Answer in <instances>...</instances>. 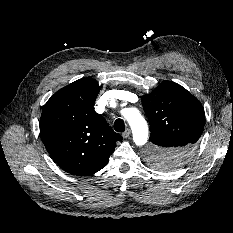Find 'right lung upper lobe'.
I'll use <instances>...</instances> for the list:
<instances>
[{
    "label": "right lung upper lobe",
    "instance_id": "obj_1",
    "mask_svg": "<svg viewBox=\"0 0 233 233\" xmlns=\"http://www.w3.org/2000/svg\"><path fill=\"white\" fill-rule=\"evenodd\" d=\"M98 92L96 80L82 78L57 91L43 108L39 124L42 141L67 173H96L106 166L116 141L122 140L95 112Z\"/></svg>",
    "mask_w": 233,
    "mask_h": 233
}]
</instances>
